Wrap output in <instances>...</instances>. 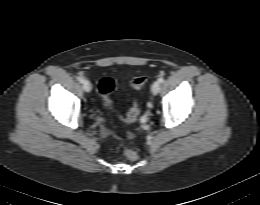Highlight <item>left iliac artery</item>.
<instances>
[{"instance_id": "left-iliac-artery-1", "label": "left iliac artery", "mask_w": 260, "mask_h": 205, "mask_svg": "<svg viewBox=\"0 0 260 205\" xmlns=\"http://www.w3.org/2000/svg\"><path fill=\"white\" fill-rule=\"evenodd\" d=\"M158 82H159V83H163V82H164V78H163V77H160V78L158 79Z\"/></svg>"}]
</instances>
